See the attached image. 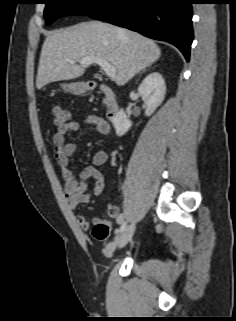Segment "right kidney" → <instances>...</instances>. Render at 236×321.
I'll use <instances>...</instances> for the list:
<instances>
[{
    "mask_svg": "<svg viewBox=\"0 0 236 321\" xmlns=\"http://www.w3.org/2000/svg\"><path fill=\"white\" fill-rule=\"evenodd\" d=\"M138 93L147 107L145 116L149 117L165 98L166 85L164 78L159 72L148 74L138 87ZM113 126L118 136L124 135L132 126V122L128 119L123 109H120L114 117Z\"/></svg>",
    "mask_w": 236,
    "mask_h": 321,
    "instance_id": "obj_1",
    "label": "right kidney"
}]
</instances>
